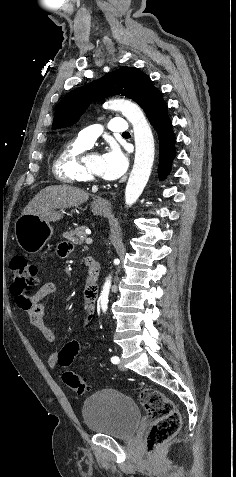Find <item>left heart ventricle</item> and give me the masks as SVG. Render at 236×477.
Returning a JSON list of instances; mask_svg holds the SVG:
<instances>
[{"label": "left heart ventricle", "mask_w": 236, "mask_h": 477, "mask_svg": "<svg viewBox=\"0 0 236 477\" xmlns=\"http://www.w3.org/2000/svg\"><path fill=\"white\" fill-rule=\"evenodd\" d=\"M87 164L89 168L99 176H103L101 171V156L93 154L89 157Z\"/></svg>", "instance_id": "1"}]
</instances>
